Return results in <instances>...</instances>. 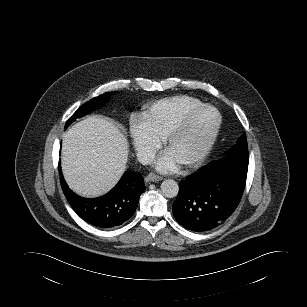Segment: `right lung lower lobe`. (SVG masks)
I'll return each mask as SVG.
<instances>
[{
	"mask_svg": "<svg viewBox=\"0 0 307 307\" xmlns=\"http://www.w3.org/2000/svg\"><path fill=\"white\" fill-rule=\"evenodd\" d=\"M60 177L62 190L73 210L84 221L101 229L117 227L127 221L134 214L139 197L145 190L142 175L127 171L109 193L87 199L76 195L68 188L61 168Z\"/></svg>",
	"mask_w": 307,
	"mask_h": 307,
	"instance_id": "right-lung-lower-lobe-1",
	"label": "right lung lower lobe"
}]
</instances>
